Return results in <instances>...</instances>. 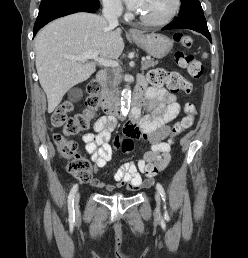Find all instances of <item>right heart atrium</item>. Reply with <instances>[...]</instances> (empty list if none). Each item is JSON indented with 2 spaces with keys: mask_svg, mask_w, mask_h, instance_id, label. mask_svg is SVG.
Listing matches in <instances>:
<instances>
[{
  "mask_svg": "<svg viewBox=\"0 0 248 258\" xmlns=\"http://www.w3.org/2000/svg\"><path fill=\"white\" fill-rule=\"evenodd\" d=\"M106 12L112 15H120L123 7L120 0H101Z\"/></svg>",
  "mask_w": 248,
  "mask_h": 258,
  "instance_id": "right-heart-atrium-1",
  "label": "right heart atrium"
}]
</instances>
